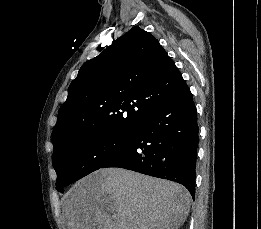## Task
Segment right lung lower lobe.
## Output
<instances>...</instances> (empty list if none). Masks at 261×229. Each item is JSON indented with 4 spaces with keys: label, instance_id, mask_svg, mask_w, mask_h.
Here are the masks:
<instances>
[{
    "label": "right lung lower lobe",
    "instance_id": "right-lung-lower-lobe-1",
    "mask_svg": "<svg viewBox=\"0 0 261 229\" xmlns=\"http://www.w3.org/2000/svg\"><path fill=\"white\" fill-rule=\"evenodd\" d=\"M199 128L183 80L135 132L129 147L102 168L119 167L177 182L195 198Z\"/></svg>",
    "mask_w": 261,
    "mask_h": 229
}]
</instances>
